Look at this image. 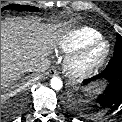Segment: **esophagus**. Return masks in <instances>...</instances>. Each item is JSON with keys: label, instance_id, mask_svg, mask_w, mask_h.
Returning a JSON list of instances; mask_svg holds the SVG:
<instances>
[{"label": "esophagus", "instance_id": "34e87169", "mask_svg": "<svg viewBox=\"0 0 122 122\" xmlns=\"http://www.w3.org/2000/svg\"><path fill=\"white\" fill-rule=\"evenodd\" d=\"M56 75H58V71L56 69L52 68L48 71V76L52 77Z\"/></svg>", "mask_w": 122, "mask_h": 122}]
</instances>
